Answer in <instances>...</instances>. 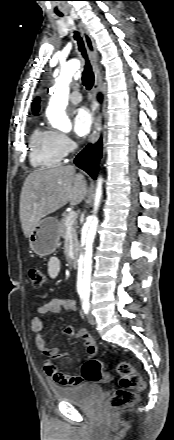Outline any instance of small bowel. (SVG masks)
Masks as SVG:
<instances>
[{
  "label": "small bowel",
  "mask_w": 174,
  "mask_h": 440,
  "mask_svg": "<svg viewBox=\"0 0 174 440\" xmlns=\"http://www.w3.org/2000/svg\"><path fill=\"white\" fill-rule=\"evenodd\" d=\"M60 271V260L57 257H51L47 263L48 277L51 279L56 278ZM63 309H68L71 311L75 310V303L70 297L53 298L48 303L38 306L36 311L39 314H58ZM31 327L35 333L36 346L44 355L51 358H64L66 356V352L60 348H51L47 345V341L44 336L45 325L40 317L36 316L32 319ZM64 334L69 339L75 336L83 340L87 358H92L97 354L98 346L93 336L88 332L87 329L81 328L75 331L73 325H68L64 329ZM45 364V372L55 383L64 386H74L82 383L81 377L71 376L61 372L51 361H46Z\"/></svg>",
  "instance_id": "1"
}]
</instances>
